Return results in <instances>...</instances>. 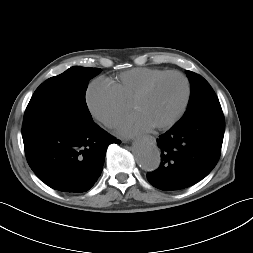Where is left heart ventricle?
<instances>
[{"instance_id": "b2bd125f", "label": "left heart ventricle", "mask_w": 253, "mask_h": 253, "mask_svg": "<svg viewBox=\"0 0 253 253\" xmlns=\"http://www.w3.org/2000/svg\"><path fill=\"white\" fill-rule=\"evenodd\" d=\"M184 95L183 80L178 76H169L158 82L132 109L157 126L169 121L178 112Z\"/></svg>"}]
</instances>
